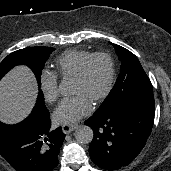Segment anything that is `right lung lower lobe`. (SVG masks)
I'll return each instance as SVG.
<instances>
[{
    "instance_id": "obj_1",
    "label": "right lung lower lobe",
    "mask_w": 171,
    "mask_h": 171,
    "mask_svg": "<svg viewBox=\"0 0 171 171\" xmlns=\"http://www.w3.org/2000/svg\"><path fill=\"white\" fill-rule=\"evenodd\" d=\"M48 110L35 106L22 122H0V154L16 171H53L65 138L61 128L51 129Z\"/></svg>"
}]
</instances>
